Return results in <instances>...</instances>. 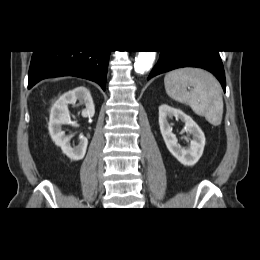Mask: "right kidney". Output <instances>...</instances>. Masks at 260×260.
Listing matches in <instances>:
<instances>
[{
    "label": "right kidney",
    "instance_id": "obj_1",
    "mask_svg": "<svg viewBox=\"0 0 260 260\" xmlns=\"http://www.w3.org/2000/svg\"><path fill=\"white\" fill-rule=\"evenodd\" d=\"M79 101L85 105L81 115L84 118H92L95 114V107L89 90L85 87H77L71 91L64 93L54 103L50 111L49 133L53 142L59 146L62 152L71 160L78 161L84 158L88 140L84 136L79 137L77 146H71L70 138L62 130V125L71 122L69 104H74Z\"/></svg>",
    "mask_w": 260,
    "mask_h": 260
}]
</instances>
